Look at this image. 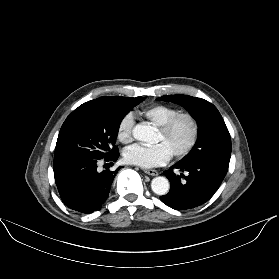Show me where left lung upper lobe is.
Returning <instances> with one entry per match:
<instances>
[{"instance_id":"obj_1","label":"left lung upper lobe","mask_w":279,"mask_h":279,"mask_svg":"<svg viewBox=\"0 0 279 279\" xmlns=\"http://www.w3.org/2000/svg\"><path fill=\"white\" fill-rule=\"evenodd\" d=\"M157 100L170 101L186 108L198 124V138L192 150L179 162L214 160L229 166L231 139L225 122L210 102L187 95H165Z\"/></svg>"}]
</instances>
